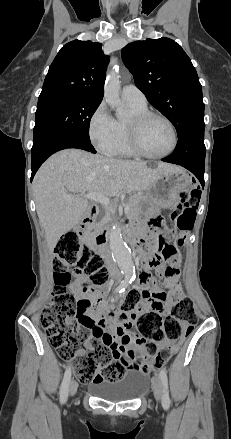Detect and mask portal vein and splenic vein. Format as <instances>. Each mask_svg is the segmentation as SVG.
<instances>
[{"label":"portal vein and splenic vein","mask_w":231,"mask_h":439,"mask_svg":"<svg viewBox=\"0 0 231 439\" xmlns=\"http://www.w3.org/2000/svg\"><path fill=\"white\" fill-rule=\"evenodd\" d=\"M82 196H83V198L93 200L95 202H99L105 206L110 205V200L100 192H91V193H88V194L82 195ZM128 211H129V206L126 205L124 208V212L128 213Z\"/></svg>","instance_id":"obj_1"}]
</instances>
